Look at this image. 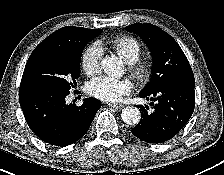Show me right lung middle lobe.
<instances>
[{
    "mask_svg": "<svg viewBox=\"0 0 224 175\" xmlns=\"http://www.w3.org/2000/svg\"><path fill=\"white\" fill-rule=\"evenodd\" d=\"M97 34H88L67 46H37L30 55L20 87L44 86L69 91L80 76L85 45Z\"/></svg>",
    "mask_w": 224,
    "mask_h": 175,
    "instance_id": "right-lung-middle-lobe-1",
    "label": "right lung middle lobe"
}]
</instances>
